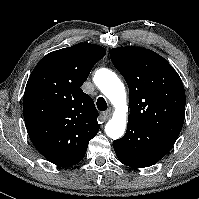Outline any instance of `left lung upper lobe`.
<instances>
[{"mask_svg": "<svg viewBox=\"0 0 199 199\" xmlns=\"http://www.w3.org/2000/svg\"><path fill=\"white\" fill-rule=\"evenodd\" d=\"M110 58L129 87L128 121L176 141L185 118V90L174 68L159 54L141 47H118Z\"/></svg>", "mask_w": 199, "mask_h": 199, "instance_id": "obj_1", "label": "left lung upper lobe"}]
</instances>
